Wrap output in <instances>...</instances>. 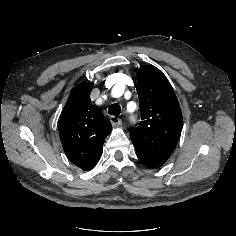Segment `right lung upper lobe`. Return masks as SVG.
Wrapping results in <instances>:
<instances>
[{"label": "right lung upper lobe", "instance_id": "cb5924a9", "mask_svg": "<svg viewBox=\"0 0 236 236\" xmlns=\"http://www.w3.org/2000/svg\"><path fill=\"white\" fill-rule=\"evenodd\" d=\"M92 83H81L71 92L62 111L59 135L66 156L87 171L99 160L111 122L91 104Z\"/></svg>", "mask_w": 236, "mask_h": 236}]
</instances>
